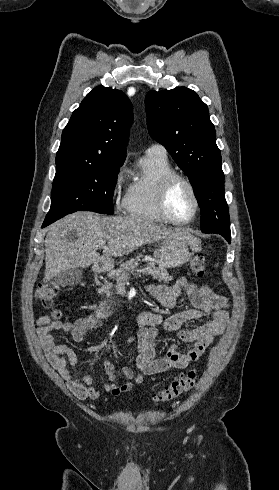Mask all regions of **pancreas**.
<instances>
[{
    "label": "pancreas",
    "mask_w": 279,
    "mask_h": 490,
    "mask_svg": "<svg viewBox=\"0 0 279 490\" xmlns=\"http://www.w3.org/2000/svg\"><path fill=\"white\" fill-rule=\"evenodd\" d=\"M137 266H139V262H136V260H129V262L121 264L120 268H118L116 272H113V274L116 276V278H123V276L128 278L129 274H133V272H135V268H137ZM141 274L153 276V280L164 282V284H169V282L172 280L165 266H163V264H158V262H155V264H147L146 268H143ZM111 288H113V284H110V282H104V284H101V288H98L97 292L100 294V296H103V294H106V296H112L113 292H111Z\"/></svg>",
    "instance_id": "obj_1"
}]
</instances>
